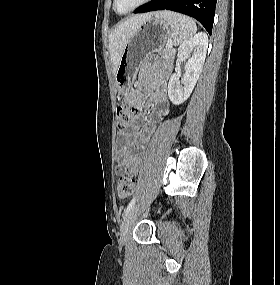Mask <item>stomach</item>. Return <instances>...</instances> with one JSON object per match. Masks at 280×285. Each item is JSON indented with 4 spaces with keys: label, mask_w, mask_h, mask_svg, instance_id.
Listing matches in <instances>:
<instances>
[{
    "label": "stomach",
    "mask_w": 280,
    "mask_h": 285,
    "mask_svg": "<svg viewBox=\"0 0 280 285\" xmlns=\"http://www.w3.org/2000/svg\"><path fill=\"white\" fill-rule=\"evenodd\" d=\"M171 37L172 29L169 23L156 16L137 29L124 47L115 73V82L120 94H126L131 89L143 59L148 54L162 49Z\"/></svg>",
    "instance_id": "1"
}]
</instances>
